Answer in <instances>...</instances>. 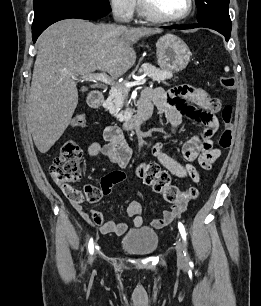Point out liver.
Returning a JSON list of instances; mask_svg holds the SVG:
<instances>
[{
  "instance_id": "liver-1",
  "label": "liver",
  "mask_w": 261,
  "mask_h": 306,
  "mask_svg": "<svg viewBox=\"0 0 261 306\" xmlns=\"http://www.w3.org/2000/svg\"><path fill=\"white\" fill-rule=\"evenodd\" d=\"M157 33L161 30L121 29L81 19H65L48 27L37 40L28 101V129L37 149L46 153L71 121L78 104L76 82L71 76L100 70L120 77L136 61L133 43Z\"/></svg>"
}]
</instances>
